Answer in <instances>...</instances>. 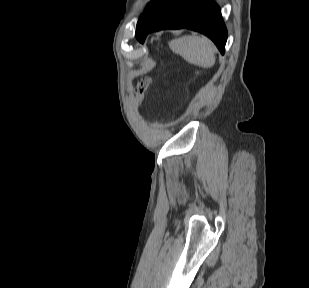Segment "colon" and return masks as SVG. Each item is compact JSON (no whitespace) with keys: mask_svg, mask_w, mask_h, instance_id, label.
<instances>
[{"mask_svg":"<svg viewBox=\"0 0 309 288\" xmlns=\"http://www.w3.org/2000/svg\"><path fill=\"white\" fill-rule=\"evenodd\" d=\"M150 84H151L150 77H143L138 80L137 86L135 88V94H134L135 104L141 103Z\"/></svg>","mask_w":309,"mask_h":288,"instance_id":"1","label":"colon"}]
</instances>
